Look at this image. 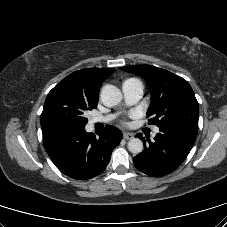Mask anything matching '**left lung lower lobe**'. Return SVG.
<instances>
[{
  "instance_id": "1",
  "label": "left lung lower lobe",
  "mask_w": 227,
  "mask_h": 227,
  "mask_svg": "<svg viewBox=\"0 0 227 227\" xmlns=\"http://www.w3.org/2000/svg\"><path fill=\"white\" fill-rule=\"evenodd\" d=\"M198 130L187 127H160V132L144 150L133 158V163L141 172L161 177L174 171L188 156L197 137ZM142 138V134H137Z\"/></svg>"
}]
</instances>
